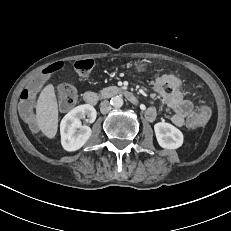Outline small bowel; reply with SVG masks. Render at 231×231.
<instances>
[{"label": "small bowel", "instance_id": "1", "mask_svg": "<svg viewBox=\"0 0 231 231\" xmlns=\"http://www.w3.org/2000/svg\"><path fill=\"white\" fill-rule=\"evenodd\" d=\"M173 75L164 74L158 76L154 81V89L159 94L162 102L169 108V120L175 126H183L187 117L192 112V104L184 98L182 93L167 80H162V77ZM175 77V76H174ZM176 78V77H175ZM177 79V78H176ZM158 116V109L150 106L145 110V117L148 121L153 122Z\"/></svg>", "mask_w": 231, "mask_h": 231}]
</instances>
